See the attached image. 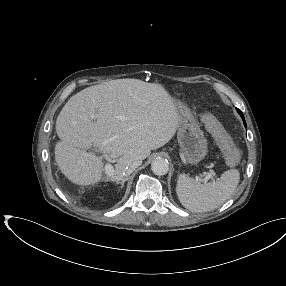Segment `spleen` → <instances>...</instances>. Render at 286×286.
<instances>
[{
	"label": "spleen",
	"mask_w": 286,
	"mask_h": 286,
	"mask_svg": "<svg viewBox=\"0 0 286 286\" xmlns=\"http://www.w3.org/2000/svg\"><path fill=\"white\" fill-rule=\"evenodd\" d=\"M240 180L237 169L225 171L217 181L201 184L199 181L180 174L176 193L181 204L193 212H207L224 204L234 193Z\"/></svg>",
	"instance_id": "1"
}]
</instances>
